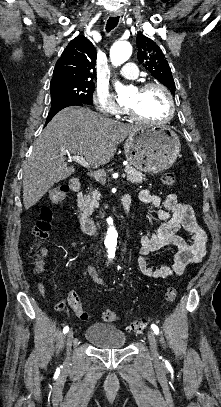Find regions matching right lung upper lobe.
I'll return each mask as SVG.
<instances>
[{
  "mask_svg": "<svg viewBox=\"0 0 221 407\" xmlns=\"http://www.w3.org/2000/svg\"><path fill=\"white\" fill-rule=\"evenodd\" d=\"M96 58L95 47L86 37L74 38L56 63L50 89L74 83L92 82L96 77Z\"/></svg>",
  "mask_w": 221,
  "mask_h": 407,
  "instance_id": "obj_1",
  "label": "right lung upper lobe"
}]
</instances>
